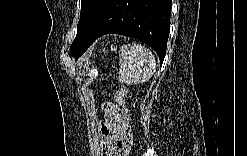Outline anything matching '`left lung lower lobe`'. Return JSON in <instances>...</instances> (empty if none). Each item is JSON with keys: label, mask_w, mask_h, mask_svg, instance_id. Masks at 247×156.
<instances>
[{"label": "left lung lower lobe", "mask_w": 247, "mask_h": 156, "mask_svg": "<svg viewBox=\"0 0 247 156\" xmlns=\"http://www.w3.org/2000/svg\"><path fill=\"white\" fill-rule=\"evenodd\" d=\"M171 5V0H107L86 33L82 54L97 38L116 33L144 42L156 51L162 63Z\"/></svg>", "instance_id": "0a47b994"}]
</instances>
